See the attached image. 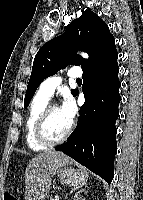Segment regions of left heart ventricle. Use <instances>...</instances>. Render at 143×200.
Here are the masks:
<instances>
[{
    "label": "left heart ventricle",
    "instance_id": "left-heart-ventricle-1",
    "mask_svg": "<svg viewBox=\"0 0 143 200\" xmlns=\"http://www.w3.org/2000/svg\"><path fill=\"white\" fill-rule=\"evenodd\" d=\"M69 126L70 123L65 118L60 108L52 109L47 122L48 135L53 139H57L67 131Z\"/></svg>",
    "mask_w": 143,
    "mask_h": 200
}]
</instances>
